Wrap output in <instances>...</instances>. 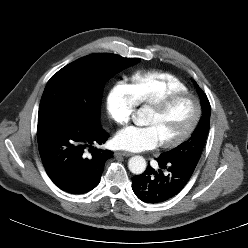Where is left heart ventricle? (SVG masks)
<instances>
[{
	"instance_id": "b2bd125f",
	"label": "left heart ventricle",
	"mask_w": 248,
	"mask_h": 248,
	"mask_svg": "<svg viewBox=\"0 0 248 248\" xmlns=\"http://www.w3.org/2000/svg\"><path fill=\"white\" fill-rule=\"evenodd\" d=\"M194 112L195 105L192 99L184 98L173 103L163 113L149 109L144 124L155 128L160 142L168 141L175 139L186 130Z\"/></svg>"
}]
</instances>
